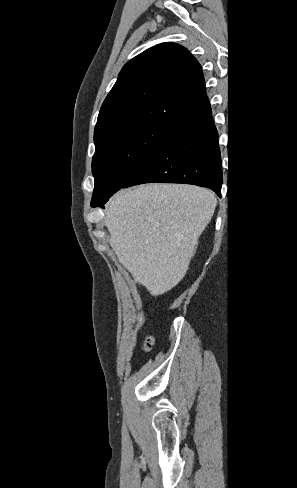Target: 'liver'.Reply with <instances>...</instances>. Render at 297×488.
<instances>
[{
    "mask_svg": "<svg viewBox=\"0 0 297 488\" xmlns=\"http://www.w3.org/2000/svg\"><path fill=\"white\" fill-rule=\"evenodd\" d=\"M217 204L213 192L183 184H148L112 197L105 226L118 261L157 296L184 277Z\"/></svg>",
    "mask_w": 297,
    "mask_h": 488,
    "instance_id": "6515ba94",
    "label": "liver"
}]
</instances>
